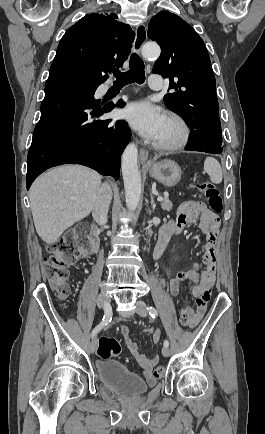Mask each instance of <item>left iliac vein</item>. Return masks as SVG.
<instances>
[{"mask_svg":"<svg viewBox=\"0 0 265 434\" xmlns=\"http://www.w3.org/2000/svg\"><path fill=\"white\" fill-rule=\"evenodd\" d=\"M135 310H136V312H137L140 316H142V317H146V316H147L146 303H145V302H143V301H141V300H138V301L136 302V308H135ZM162 354H163L165 357L169 356V354H170V349H169L168 347L164 346V347L162 348Z\"/></svg>","mask_w":265,"mask_h":434,"instance_id":"1","label":"left iliac vein"}]
</instances>
